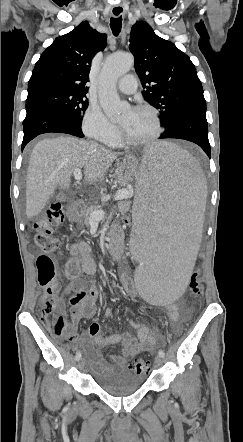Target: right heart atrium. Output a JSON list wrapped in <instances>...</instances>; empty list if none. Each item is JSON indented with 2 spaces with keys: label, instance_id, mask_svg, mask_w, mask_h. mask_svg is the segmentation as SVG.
Segmentation results:
<instances>
[{
  "label": "right heart atrium",
  "instance_id": "obj_1",
  "mask_svg": "<svg viewBox=\"0 0 243 442\" xmlns=\"http://www.w3.org/2000/svg\"><path fill=\"white\" fill-rule=\"evenodd\" d=\"M82 131L90 139L109 143L118 135V128L107 118L100 106L90 104L83 116Z\"/></svg>",
  "mask_w": 243,
  "mask_h": 442
}]
</instances>
